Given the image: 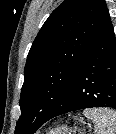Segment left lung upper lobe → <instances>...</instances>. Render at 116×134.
<instances>
[{"instance_id":"1","label":"left lung upper lobe","mask_w":116,"mask_h":134,"mask_svg":"<svg viewBox=\"0 0 116 134\" xmlns=\"http://www.w3.org/2000/svg\"><path fill=\"white\" fill-rule=\"evenodd\" d=\"M109 17L104 0H65L51 13L28 53L15 134H33L71 97L73 80Z\"/></svg>"}]
</instances>
